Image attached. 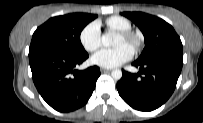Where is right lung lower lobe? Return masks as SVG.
<instances>
[{
    "instance_id": "98d812e1",
    "label": "right lung lower lobe",
    "mask_w": 203,
    "mask_h": 123,
    "mask_svg": "<svg viewBox=\"0 0 203 123\" xmlns=\"http://www.w3.org/2000/svg\"><path fill=\"white\" fill-rule=\"evenodd\" d=\"M88 54L30 48L29 62L34 84L42 98L55 110L69 112L82 107L91 97L100 76L97 66L76 70Z\"/></svg>"
}]
</instances>
